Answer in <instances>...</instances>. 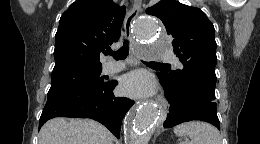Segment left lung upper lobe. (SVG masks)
Returning <instances> with one entry per match:
<instances>
[{
  "label": "left lung upper lobe",
  "instance_id": "5c2ea615",
  "mask_svg": "<svg viewBox=\"0 0 260 144\" xmlns=\"http://www.w3.org/2000/svg\"><path fill=\"white\" fill-rule=\"evenodd\" d=\"M146 13L162 20L172 38L182 70L161 72L175 87L195 81L215 90L217 62L214 26L199 8L175 0H161Z\"/></svg>",
  "mask_w": 260,
  "mask_h": 144
}]
</instances>
